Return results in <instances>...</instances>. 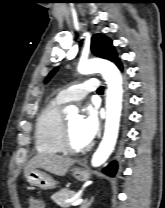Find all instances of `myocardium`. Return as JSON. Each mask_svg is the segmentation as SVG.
I'll return each mask as SVG.
<instances>
[{
  "instance_id": "obj_1",
  "label": "myocardium",
  "mask_w": 165,
  "mask_h": 208,
  "mask_svg": "<svg viewBox=\"0 0 165 208\" xmlns=\"http://www.w3.org/2000/svg\"><path fill=\"white\" fill-rule=\"evenodd\" d=\"M64 120V119H63ZM61 146L66 153H84L91 148L90 144L83 147H77L72 144L70 136V127L67 119L64 120L61 132Z\"/></svg>"
}]
</instances>
